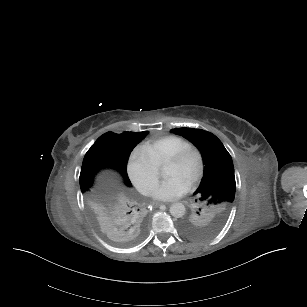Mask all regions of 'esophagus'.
<instances>
[{"label": "esophagus", "instance_id": "obj_1", "mask_svg": "<svg viewBox=\"0 0 307 307\" xmlns=\"http://www.w3.org/2000/svg\"><path fill=\"white\" fill-rule=\"evenodd\" d=\"M152 205H154L155 207H160L162 205V203L154 202Z\"/></svg>", "mask_w": 307, "mask_h": 307}]
</instances>
